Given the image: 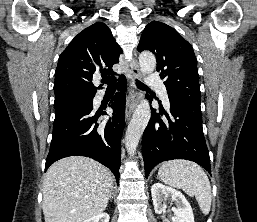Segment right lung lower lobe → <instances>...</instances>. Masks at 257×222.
Instances as JSON below:
<instances>
[{
    "label": "right lung lower lobe",
    "mask_w": 257,
    "mask_h": 222,
    "mask_svg": "<svg viewBox=\"0 0 257 222\" xmlns=\"http://www.w3.org/2000/svg\"><path fill=\"white\" fill-rule=\"evenodd\" d=\"M118 88L126 89V79L120 76ZM125 95L118 92L110 102L114 115L105 125H99V115L94 114L93 103L88 110L76 109L55 117L50 151L45 170L55 161L68 156L90 157L115 175L119 183L120 141L125 126ZM104 115V114H103Z\"/></svg>",
    "instance_id": "right-lung-lower-lobe-1"
}]
</instances>
